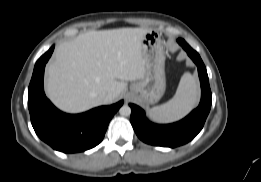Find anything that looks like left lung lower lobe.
<instances>
[{"mask_svg":"<svg viewBox=\"0 0 261 182\" xmlns=\"http://www.w3.org/2000/svg\"><path fill=\"white\" fill-rule=\"evenodd\" d=\"M182 47L198 68L202 90L200 104L181 121L167 125H159L150 122L145 117V113L140 107L130 104V121L133 129L137 136L147 144L171 148L186 144L201 131L209 114L212 94L206 67L195 50L189 45H184Z\"/></svg>","mask_w":261,"mask_h":182,"instance_id":"1","label":"left lung lower lobe"}]
</instances>
